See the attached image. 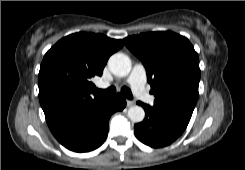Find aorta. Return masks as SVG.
Segmentation results:
<instances>
[{
  "instance_id": "obj_1",
  "label": "aorta",
  "mask_w": 245,
  "mask_h": 170,
  "mask_svg": "<svg viewBox=\"0 0 245 170\" xmlns=\"http://www.w3.org/2000/svg\"><path fill=\"white\" fill-rule=\"evenodd\" d=\"M110 71L119 77L127 76L132 68L130 58L123 53H115L108 60ZM128 117L134 123L142 122L145 118V111L140 106H131L128 109Z\"/></svg>"
}]
</instances>
